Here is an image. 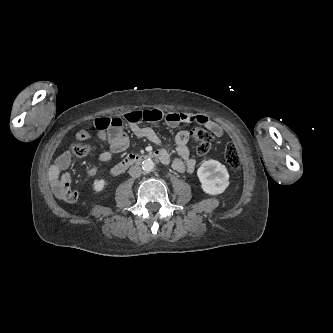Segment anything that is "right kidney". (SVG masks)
I'll list each match as a JSON object with an SVG mask.
<instances>
[{
    "mask_svg": "<svg viewBox=\"0 0 333 333\" xmlns=\"http://www.w3.org/2000/svg\"><path fill=\"white\" fill-rule=\"evenodd\" d=\"M106 184L107 183L104 179L95 180L94 183H93V189L97 192H100L104 189Z\"/></svg>",
    "mask_w": 333,
    "mask_h": 333,
    "instance_id": "ca27d5eb",
    "label": "right kidney"
}]
</instances>
